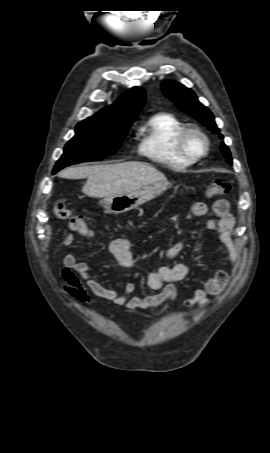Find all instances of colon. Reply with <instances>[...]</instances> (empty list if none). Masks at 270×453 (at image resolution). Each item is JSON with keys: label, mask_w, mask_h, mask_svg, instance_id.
Wrapping results in <instances>:
<instances>
[{"label": "colon", "mask_w": 270, "mask_h": 453, "mask_svg": "<svg viewBox=\"0 0 270 453\" xmlns=\"http://www.w3.org/2000/svg\"><path fill=\"white\" fill-rule=\"evenodd\" d=\"M229 189L230 185L227 182L214 181L207 186L206 195L208 197L222 196L227 194ZM54 213L59 219L66 221L73 231L82 236L90 235L91 229L84 217L73 214L64 201L59 200L55 202Z\"/></svg>", "instance_id": "colon-1"}]
</instances>
